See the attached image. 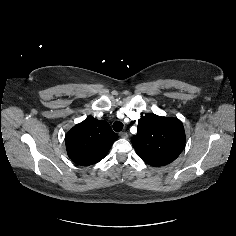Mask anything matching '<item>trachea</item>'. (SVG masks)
Listing matches in <instances>:
<instances>
[{
    "instance_id": "3493384b",
    "label": "trachea",
    "mask_w": 236,
    "mask_h": 236,
    "mask_svg": "<svg viewBox=\"0 0 236 236\" xmlns=\"http://www.w3.org/2000/svg\"><path fill=\"white\" fill-rule=\"evenodd\" d=\"M113 129L116 131V132H120L122 129H123V123L120 122V121H115L113 123Z\"/></svg>"
}]
</instances>
